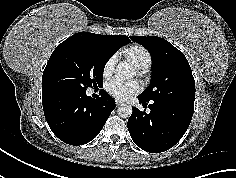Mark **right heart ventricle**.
Masks as SVG:
<instances>
[{
    "label": "right heart ventricle",
    "mask_w": 236,
    "mask_h": 178,
    "mask_svg": "<svg viewBox=\"0 0 236 178\" xmlns=\"http://www.w3.org/2000/svg\"><path fill=\"white\" fill-rule=\"evenodd\" d=\"M122 55L138 69H147L152 63L149 51L141 45H132L126 48Z\"/></svg>",
    "instance_id": "1"
}]
</instances>
